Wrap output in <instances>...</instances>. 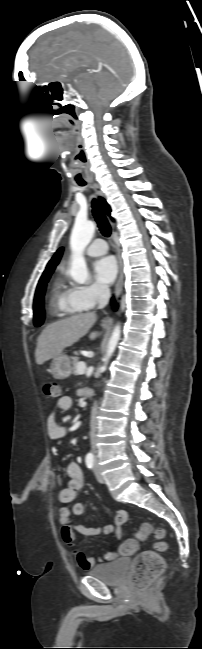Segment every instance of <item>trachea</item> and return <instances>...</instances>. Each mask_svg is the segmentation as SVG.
Returning a JSON list of instances; mask_svg holds the SVG:
<instances>
[{"label": "trachea", "instance_id": "obj_1", "mask_svg": "<svg viewBox=\"0 0 202 649\" xmlns=\"http://www.w3.org/2000/svg\"><path fill=\"white\" fill-rule=\"evenodd\" d=\"M80 186H84L85 183H80ZM92 212L94 215V218L98 224L99 230L104 235L105 237H110L111 235V226L100 206L98 201L96 199L92 200Z\"/></svg>", "mask_w": 202, "mask_h": 649}]
</instances>
